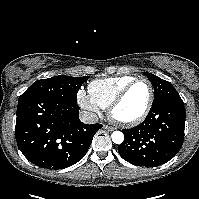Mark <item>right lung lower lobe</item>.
I'll return each mask as SVG.
<instances>
[{"label": "right lung lower lobe", "instance_id": "obj_1", "mask_svg": "<svg viewBox=\"0 0 199 199\" xmlns=\"http://www.w3.org/2000/svg\"><path fill=\"white\" fill-rule=\"evenodd\" d=\"M79 106L35 95L18 100L15 135L33 164L47 169L70 167L83 158L101 124L79 120Z\"/></svg>", "mask_w": 199, "mask_h": 199}]
</instances>
